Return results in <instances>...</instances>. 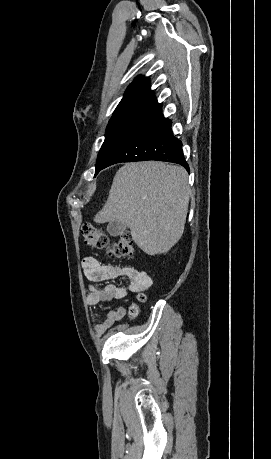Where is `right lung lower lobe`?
Wrapping results in <instances>:
<instances>
[{"mask_svg":"<svg viewBox=\"0 0 271 459\" xmlns=\"http://www.w3.org/2000/svg\"><path fill=\"white\" fill-rule=\"evenodd\" d=\"M171 124V120L159 114L129 139L104 168L120 162L157 160L180 164L189 171L182 152V142L173 136Z\"/></svg>","mask_w":271,"mask_h":459,"instance_id":"98d812e1","label":"right lung lower lobe"}]
</instances>
